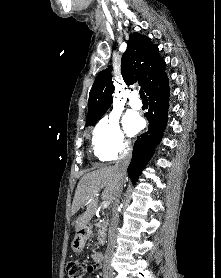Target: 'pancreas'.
Segmentation results:
<instances>
[{"mask_svg":"<svg viewBox=\"0 0 221 278\" xmlns=\"http://www.w3.org/2000/svg\"><path fill=\"white\" fill-rule=\"evenodd\" d=\"M97 226V233L99 234L98 235V241H99V244H103L104 243V240H105V236H106V223L102 224V222H97L96 224Z\"/></svg>","mask_w":221,"mask_h":278,"instance_id":"obj_1","label":"pancreas"}]
</instances>
